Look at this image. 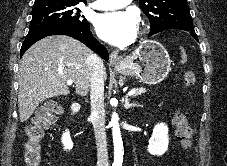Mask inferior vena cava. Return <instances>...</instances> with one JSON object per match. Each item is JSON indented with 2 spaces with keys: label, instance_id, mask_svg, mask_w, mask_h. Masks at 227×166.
Wrapping results in <instances>:
<instances>
[{
  "label": "inferior vena cava",
  "instance_id": "1",
  "mask_svg": "<svg viewBox=\"0 0 227 166\" xmlns=\"http://www.w3.org/2000/svg\"><path fill=\"white\" fill-rule=\"evenodd\" d=\"M106 71L103 60L94 55L90 85L91 116L97 145V166H108V153L104 118V81Z\"/></svg>",
  "mask_w": 227,
  "mask_h": 166
}]
</instances>
